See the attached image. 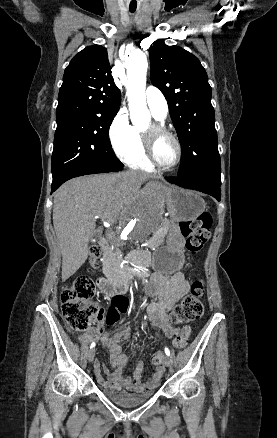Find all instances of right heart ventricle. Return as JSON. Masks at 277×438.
<instances>
[{
    "label": "right heart ventricle",
    "mask_w": 277,
    "mask_h": 438,
    "mask_svg": "<svg viewBox=\"0 0 277 438\" xmlns=\"http://www.w3.org/2000/svg\"><path fill=\"white\" fill-rule=\"evenodd\" d=\"M134 133V149L131 153L121 156L123 161L132 169L148 173L155 171V166L150 162L146 154L141 132L134 128Z\"/></svg>",
    "instance_id": "obj_1"
}]
</instances>
